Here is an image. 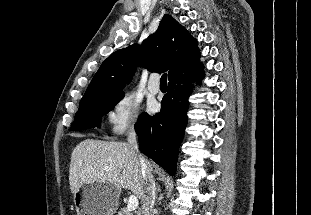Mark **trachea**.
Here are the masks:
<instances>
[{"label": "trachea", "instance_id": "1", "mask_svg": "<svg viewBox=\"0 0 311 215\" xmlns=\"http://www.w3.org/2000/svg\"><path fill=\"white\" fill-rule=\"evenodd\" d=\"M160 85H167V74L164 73L160 79Z\"/></svg>", "mask_w": 311, "mask_h": 215}]
</instances>
